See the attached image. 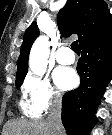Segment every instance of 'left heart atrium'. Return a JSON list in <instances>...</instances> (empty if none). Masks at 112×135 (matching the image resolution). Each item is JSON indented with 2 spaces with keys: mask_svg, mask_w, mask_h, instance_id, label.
Masks as SVG:
<instances>
[{
  "mask_svg": "<svg viewBox=\"0 0 112 135\" xmlns=\"http://www.w3.org/2000/svg\"><path fill=\"white\" fill-rule=\"evenodd\" d=\"M53 79L56 86L62 91L72 89L77 83V75L69 67H57L53 72Z\"/></svg>",
  "mask_w": 112,
  "mask_h": 135,
  "instance_id": "obj_1",
  "label": "left heart atrium"
}]
</instances>
